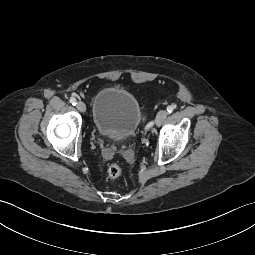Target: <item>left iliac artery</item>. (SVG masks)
Masks as SVG:
<instances>
[{"label": "left iliac artery", "instance_id": "left-iliac-artery-1", "mask_svg": "<svg viewBox=\"0 0 255 255\" xmlns=\"http://www.w3.org/2000/svg\"><path fill=\"white\" fill-rule=\"evenodd\" d=\"M175 108H176V105H173V104H172V105H169V106L167 107V111H168L169 113H172V112L174 111ZM152 124H153V123L150 122V123L147 125L146 128H147V129L150 128V127L152 126Z\"/></svg>", "mask_w": 255, "mask_h": 255}]
</instances>
